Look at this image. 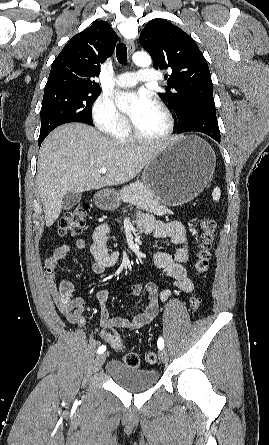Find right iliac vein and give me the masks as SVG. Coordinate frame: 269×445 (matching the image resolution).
Returning <instances> with one entry per match:
<instances>
[{
	"mask_svg": "<svg viewBox=\"0 0 269 445\" xmlns=\"http://www.w3.org/2000/svg\"><path fill=\"white\" fill-rule=\"evenodd\" d=\"M105 360H106V354L99 355L95 360L94 370L95 371L99 370L102 367V365L104 364Z\"/></svg>",
	"mask_w": 269,
	"mask_h": 445,
	"instance_id": "63e3f726",
	"label": "right iliac vein"
}]
</instances>
